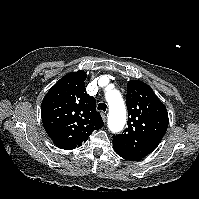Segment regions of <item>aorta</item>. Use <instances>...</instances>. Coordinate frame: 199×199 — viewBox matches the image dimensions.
I'll use <instances>...</instances> for the list:
<instances>
[{"instance_id":"aorta-1","label":"aorta","mask_w":199,"mask_h":199,"mask_svg":"<svg viewBox=\"0 0 199 199\" xmlns=\"http://www.w3.org/2000/svg\"><path fill=\"white\" fill-rule=\"evenodd\" d=\"M106 100L109 105L108 127L113 133L122 130L126 122V108L120 93L110 90L106 93Z\"/></svg>"}]
</instances>
